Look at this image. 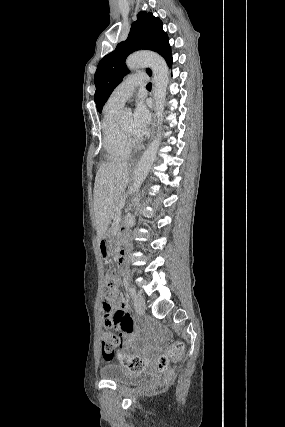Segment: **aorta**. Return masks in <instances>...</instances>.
I'll list each match as a JSON object with an SVG mask.
<instances>
[{
  "instance_id": "1",
  "label": "aorta",
  "mask_w": 285,
  "mask_h": 427,
  "mask_svg": "<svg viewBox=\"0 0 285 427\" xmlns=\"http://www.w3.org/2000/svg\"><path fill=\"white\" fill-rule=\"evenodd\" d=\"M126 65L130 70L150 67L154 77V99L157 116V135L140 158L134 172L133 184L130 188L132 193L138 192L145 180L151 166L153 165L161 142V130L164 116V106L169 83V72L165 60L154 52H136L126 59ZM126 114L131 110L126 109Z\"/></svg>"
}]
</instances>
